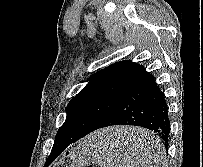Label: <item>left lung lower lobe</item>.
Wrapping results in <instances>:
<instances>
[{"mask_svg":"<svg viewBox=\"0 0 203 167\" xmlns=\"http://www.w3.org/2000/svg\"><path fill=\"white\" fill-rule=\"evenodd\" d=\"M112 125L141 126L155 132L167 147L170 135L168 106L152 75L143 68L97 129ZM83 135L59 138L48 158L53 161Z\"/></svg>","mask_w":203,"mask_h":167,"instance_id":"0a47b994","label":"left lung lower lobe"}]
</instances>
